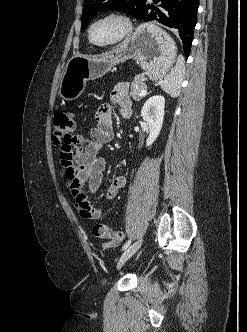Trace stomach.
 I'll return each instance as SVG.
<instances>
[{
	"instance_id": "stomach-1",
	"label": "stomach",
	"mask_w": 247,
	"mask_h": 332,
	"mask_svg": "<svg viewBox=\"0 0 247 332\" xmlns=\"http://www.w3.org/2000/svg\"><path fill=\"white\" fill-rule=\"evenodd\" d=\"M177 48L173 39L153 23L140 25L132 36L104 56L89 59L72 57L60 81L59 96L65 101L79 98L86 82L102 77L115 65L135 58L153 80H161L176 59Z\"/></svg>"
}]
</instances>
